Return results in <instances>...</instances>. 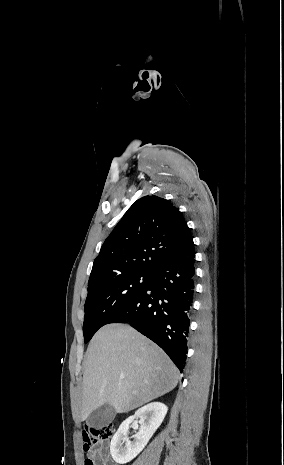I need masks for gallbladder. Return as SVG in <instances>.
I'll list each match as a JSON object with an SVG mask.
<instances>
[{
  "label": "gallbladder",
  "instance_id": "bac80fb5",
  "mask_svg": "<svg viewBox=\"0 0 284 465\" xmlns=\"http://www.w3.org/2000/svg\"><path fill=\"white\" fill-rule=\"evenodd\" d=\"M116 411L111 405H102L87 417V425L94 427V429H101L107 427L113 419H115Z\"/></svg>",
  "mask_w": 284,
  "mask_h": 465
}]
</instances>
